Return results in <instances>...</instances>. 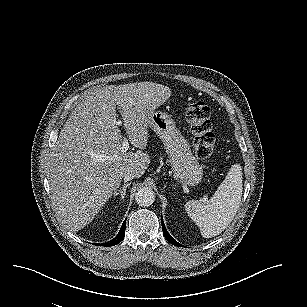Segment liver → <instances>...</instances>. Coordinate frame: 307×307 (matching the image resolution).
<instances>
[{"mask_svg": "<svg viewBox=\"0 0 307 307\" xmlns=\"http://www.w3.org/2000/svg\"><path fill=\"white\" fill-rule=\"evenodd\" d=\"M171 95L167 86L154 82L94 87L72 110L55 143L50 162L49 186L55 215L65 227L77 231L117 191L128 171L141 177L150 157L141 150L117 161H98L95 155L118 154L122 142L120 122L132 146L147 143L148 115Z\"/></svg>", "mask_w": 307, "mask_h": 307, "instance_id": "obj_1", "label": "liver"}]
</instances>
